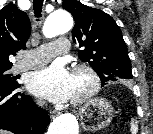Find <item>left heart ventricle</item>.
<instances>
[{
    "mask_svg": "<svg viewBox=\"0 0 153 134\" xmlns=\"http://www.w3.org/2000/svg\"><path fill=\"white\" fill-rule=\"evenodd\" d=\"M89 86L88 77L84 73H72V96L71 98L81 95Z\"/></svg>",
    "mask_w": 153,
    "mask_h": 134,
    "instance_id": "obj_1",
    "label": "left heart ventricle"
}]
</instances>
